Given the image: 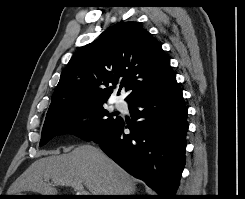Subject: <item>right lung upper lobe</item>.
<instances>
[{"label": "right lung upper lobe", "mask_w": 245, "mask_h": 199, "mask_svg": "<svg viewBox=\"0 0 245 199\" xmlns=\"http://www.w3.org/2000/svg\"><path fill=\"white\" fill-rule=\"evenodd\" d=\"M175 81L161 44L141 24L121 22L72 56L46 117L71 105L104 103L117 84L128 92L125 100L129 102L164 90Z\"/></svg>", "instance_id": "1"}]
</instances>
